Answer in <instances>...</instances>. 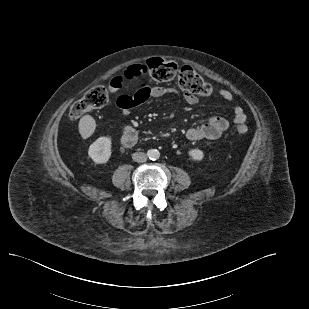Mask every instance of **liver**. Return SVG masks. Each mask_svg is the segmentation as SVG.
I'll return each instance as SVG.
<instances>
[{
	"mask_svg": "<svg viewBox=\"0 0 309 309\" xmlns=\"http://www.w3.org/2000/svg\"><path fill=\"white\" fill-rule=\"evenodd\" d=\"M96 128V122L90 115L83 116L79 121V133L83 139L90 137Z\"/></svg>",
	"mask_w": 309,
	"mask_h": 309,
	"instance_id": "liver-1",
	"label": "liver"
}]
</instances>
